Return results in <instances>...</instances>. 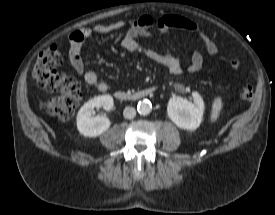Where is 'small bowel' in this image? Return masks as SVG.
Listing matches in <instances>:
<instances>
[{
    "label": "small bowel",
    "mask_w": 275,
    "mask_h": 215,
    "mask_svg": "<svg viewBox=\"0 0 275 215\" xmlns=\"http://www.w3.org/2000/svg\"><path fill=\"white\" fill-rule=\"evenodd\" d=\"M157 27L162 32L187 31L196 36L201 46L210 54L217 55L218 48L211 38L199 28L192 20L174 14H165L154 17L151 14H141L130 19L128 22L115 21L108 24H99L92 28L85 27L74 31L69 37V61L73 69L80 75L86 84L94 87L100 92L107 90V85L101 81L97 74L83 61L81 52L82 45L86 39L93 34H106L113 31L123 30L120 45L129 52L140 53L147 59L165 66L172 74L182 72V65L177 57L170 52H159L140 45V37H148L151 28ZM203 56L200 51L192 53L188 65L189 72H197L202 68Z\"/></svg>",
    "instance_id": "obj_1"
}]
</instances>
